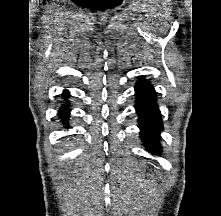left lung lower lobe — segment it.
<instances>
[{"instance_id":"obj_1","label":"left lung lower lobe","mask_w":221,"mask_h":216,"mask_svg":"<svg viewBox=\"0 0 221 216\" xmlns=\"http://www.w3.org/2000/svg\"><path fill=\"white\" fill-rule=\"evenodd\" d=\"M136 113L139 116L140 135L147 150L160 155V131L163 128L160 111L156 103V92L144 78H140L135 86Z\"/></svg>"}]
</instances>
